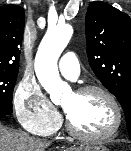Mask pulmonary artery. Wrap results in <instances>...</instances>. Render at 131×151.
<instances>
[{"instance_id": "obj_1", "label": "pulmonary artery", "mask_w": 131, "mask_h": 151, "mask_svg": "<svg viewBox=\"0 0 131 151\" xmlns=\"http://www.w3.org/2000/svg\"><path fill=\"white\" fill-rule=\"evenodd\" d=\"M60 73L71 80H75L80 73L79 63L75 53L67 52L59 61Z\"/></svg>"}]
</instances>
